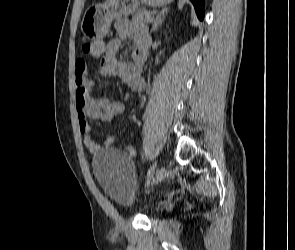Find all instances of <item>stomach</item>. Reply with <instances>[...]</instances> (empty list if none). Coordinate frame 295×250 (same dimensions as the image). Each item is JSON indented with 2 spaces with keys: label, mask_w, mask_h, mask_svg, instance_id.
<instances>
[{
  "label": "stomach",
  "mask_w": 295,
  "mask_h": 250,
  "mask_svg": "<svg viewBox=\"0 0 295 250\" xmlns=\"http://www.w3.org/2000/svg\"><path fill=\"white\" fill-rule=\"evenodd\" d=\"M141 4L153 7L165 6L172 0H106L93 4L85 11L81 30L89 39H101L109 32L114 19L133 14Z\"/></svg>",
  "instance_id": "stomach-1"
}]
</instances>
